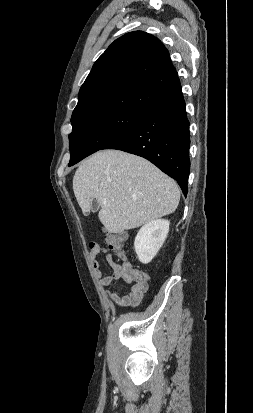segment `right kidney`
Masks as SVG:
<instances>
[{
  "instance_id": "ca27d5eb",
  "label": "right kidney",
  "mask_w": 253,
  "mask_h": 413,
  "mask_svg": "<svg viewBox=\"0 0 253 413\" xmlns=\"http://www.w3.org/2000/svg\"><path fill=\"white\" fill-rule=\"evenodd\" d=\"M168 220L157 219L145 224L138 232L134 248L140 262L149 263L162 247L169 232Z\"/></svg>"
}]
</instances>
